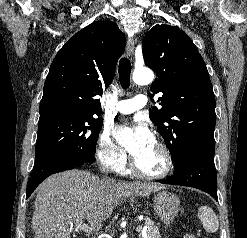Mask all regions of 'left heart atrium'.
I'll return each mask as SVG.
<instances>
[{
  "instance_id": "1",
  "label": "left heart atrium",
  "mask_w": 247,
  "mask_h": 238,
  "mask_svg": "<svg viewBox=\"0 0 247 238\" xmlns=\"http://www.w3.org/2000/svg\"><path fill=\"white\" fill-rule=\"evenodd\" d=\"M115 135L120 144L134 158L154 144V137L151 131L140 120H136L131 125L120 127Z\"/></svg>"
}]
</instances>
